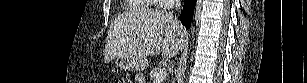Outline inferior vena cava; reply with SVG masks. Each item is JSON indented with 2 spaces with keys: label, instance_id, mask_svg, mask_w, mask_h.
Here are the masks:
<instances>
[{
  "label": "inferior vena cava",
  "instance_id": "602c4592",
  "mask_svg": "<svg viewBox=\"0 0 307 83\" xmlns=\"http://www.w3.org/2000/svg\"><path fill=\"white\" fill-rule=\"evenodd\" d=\"M180 7H181V0H175V8H176V10L180 9Z\"/></svg>",
  "mask_w": 307,
  "mask_h": 83
}]
</instances>
